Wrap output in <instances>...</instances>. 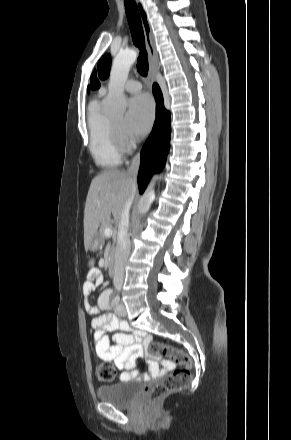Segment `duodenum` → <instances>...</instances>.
<instances>
[{
	"instance_id": "obj_1",
	"label": "duodenum",
	"mask_w": 291,
	"mask_h": 440,
	"mask_svg": "<svg viewBox=\"0 0 291 440\" xmlns=\"http://www.w3.org/2000/svg\"><path fill=\"white\" fill-rule=\"evenodd\" d=\"M114 254V252L110 253L107 258L108 272L110 276H114L116 270Z\"/></svg>"
}]
</instances>
